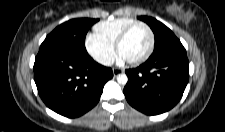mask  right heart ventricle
<instances>
[{"label":"right heart ventricle","instance_id":"right-heart-ventricle-1","mask_svg":"<svg viewBox=\"0 0 225 132\" xmlns=\"http://www.w3.org/2000/svg\"><path fill=\"white\" fill-rule=\"evenodd\" d=\"M137 22L132 18L122 17L97 23L94 35L101 41L114 46L117 38L129 25Z\"/></svg>","mask_w":225,"mask_h":132}]
</instances>
